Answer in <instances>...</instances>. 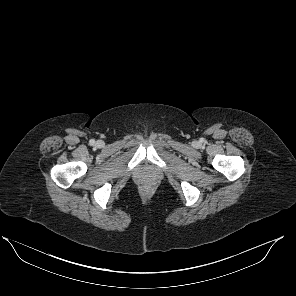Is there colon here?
I'll list each match as a JSON object with an SVG mask.
<instances>
[{
    "label": "colon",
    "mask_w": 296,
    "mask_h": 296,
    "mask_svg": "<svg viewBox=\"0 0 296 296\" xmlns=\"http://www.w3.org/2000/svg\"><path fill=\"white\" fill-rule=\"evenodd\" d=\"M145 190H146V191L150 190V187H149V186H147V187L145 188Z\"/></svg>",
    "instance_id": "colon-1"
}]
</instances>
